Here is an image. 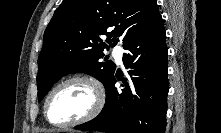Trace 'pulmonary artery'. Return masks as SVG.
Here are the masks:
<instances>
[{"label": "pulmonary artery", "mask_w": 221, "mask_h": 133, "mask_svg": "<svg viewBox=\"0 0 221 133\" xmlns=\"http://www.w3.org/2000/svg\"><path fill=\"white\" fill-rule=\"evenodd\" d=\"M123 54H124V49L120 45L114 47L113 56L118 64H122Z\"/></svg>", "instance_id": "pulmonary-artery-1"}]
</instances>
